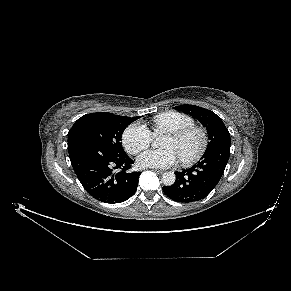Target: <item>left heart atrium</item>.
Listing matches in <instances>:
<instances>
[{
  "mask_svg": "<svg viewBox=\"0 0 291 291\" xmlns=\"http://www.w3.org/2000/svg\"><path fill=\"white\" fill-rule=\"evenodd\" d=\"M178 158L173 148L147 150L138 157V164L142 167L165 168L174 164Z\"/></svg>",
  "mask_w": 291,
  "mask_h": 291,
  "instance_id": "left-heart-atrium-1",
  "label": "left heart atrium"
}]
</instances>
